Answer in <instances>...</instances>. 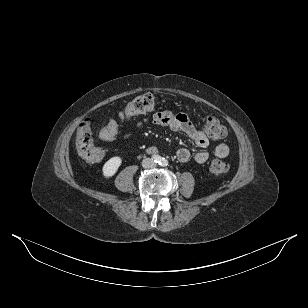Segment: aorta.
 Returning a JSON list of instances; mask_svg holds the SVG:
<instances>
[{
  "label": "aorta",
  "instance_id": "1",
  "mask_svg": "<svg viewBox=\"0 0 308 308\" xmlns=\"http://www.w3.org/2000/svg\"><path fill=\"white\" fill-rule=\"evenodd\" d=\"M159 164L165 166L168 164V161L165 158H161Z\"/></svg>",
  "mask_w": 308,
  "mask_h": 308
}]
</instances>
